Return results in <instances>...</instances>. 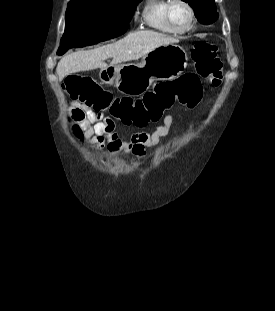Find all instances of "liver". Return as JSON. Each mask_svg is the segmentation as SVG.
Segmentation results:
<instances>
[{
  "label": "liver",
  "instance_id": "obj_1",
  "mask_svg": "<svg viewBox=\"0 0 275 311\" xmlns=\"http://www.w3.org/2000/svg\"><path fill=\"white\" fill-rule=\"evenodd\" d=\"M177 42L155 31H136L123 39L89 51H79L64 56L58 63L56 72L61 81L67 75L97 68H106L105 60L112 58L111 66L137 60L153 49Z\"/></svg>",
  "mask_w": 275,
  "mask_h": 311
}]
</instances>
